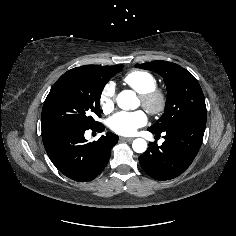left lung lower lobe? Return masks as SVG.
Returning a JSON list of instances; mask_svg holds the SVG:
<instances>
[{
	"label": "left lung lower lobe",
	"instance_id": "0a47b994",
	"mask_svg": "<svg viewBox=\"0 0 236 236\" xmlns=\"http://www.w3.org/2000/svg\"><path fill=\"white\" fill-rule=\"evenodd\" d=\"M205 126L206 118H194L165 129L163 144L158 146L156 142H150L147 151L139 157L143 170L159 181L173 179L182 174L200 149Z\"/></svg>",
	"mask_w": 236,
	"mask_h": 236
}]
</instances>
